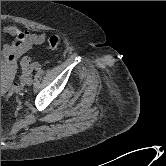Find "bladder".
Wrapping results in <instances>:
<instances>
[{
    "label": "bladder",
    "mask_w": 166,
    "mask_h": 166,
    "mask_svg": "<svg viewBox=\"0 0 166 166\" xmlns=\"http://www.w3.org/2000/svg\"><path fill=\"white\" fill-rule=\"evenodd\" d=\"M11 83V79L7 80V81H1V95L4 94L8 88V86Z\"/></svg>",
    "instance_id": "obj_1"
}]
</instances>
